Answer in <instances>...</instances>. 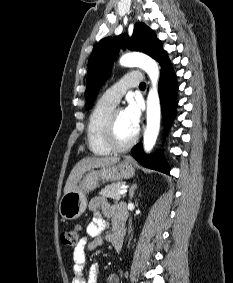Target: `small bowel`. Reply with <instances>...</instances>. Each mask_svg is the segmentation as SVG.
I'll return each mask as SVG.
<instances>
[{"label": "small bowel", "instance_id": "c3829d8e", "mask_svg": "<svg viewBox=\"0 0 233 283\" xmlns=\"http://www.w3.org/2000/svg\"><path fill=\"white\" fill-rule=\"evenodd\" d=\"M99 210L102 211V215L99 214ZM89 211L93 214V220L87 225L85 235L73 249L74 278L72 283H98V264H92L87 278L84 276L86 251L95 250L105 241H111V234L103 235L104 230L108 226L106 219H111L115 228L119 221L123 220L125 222L126 218L125 212L121 207L109 204L103 197H94L89 203ZM106 283H119V279L115 274H108Z\"/></svg>", "mask_w": 233, "mask_h": 283}]
</instances>
